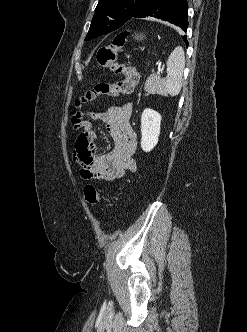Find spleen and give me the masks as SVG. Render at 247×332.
<instances>
[{"label": "spleen", "instance_id": "obj_1", "mask_svg": "<svg viewBox=\"0 0 247 332\" xmlns=\"http://www.w3.org/2000/svg\"><path fill=\"white\" fill-rule=\"evenodd\" d=\"M166 81L161 84L157 93L160 95L176 96L180 93L183 83L185 55L182 47H176L167 60Z\"/></svg>", "mask_w": 247, "mask_h": 332}]
</instances>
